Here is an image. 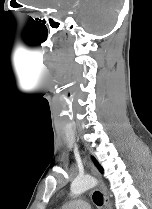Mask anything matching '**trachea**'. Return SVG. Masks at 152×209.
Returning a JSON list of instances; mask_svg holds the SVG:
<instances>
[{
    "mask_svg": "<svg viewBox=\"0 0 152 209\" xmlns=\"http://www.w3.org/2000/svg\"><path fill=\"white\" fill-rule=\"evenodd\" d=\"M93 200L95 202V204L97 205H102L103 204V196L100 192L96 191L93 193Z\"/></svg>",
    "mask_w": 152,
    "mask_h": 209,
    "instance_id": "3493384b",
    "label": "trachea"
}]
</instances>
